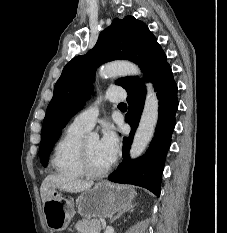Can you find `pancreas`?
I'll list each match as a JSON object with an SVG mask.
<instances>
[{
  "instance_id": "pancreas-1",
  "label": "pancreas",
  "mask_w": 227,
  "mask_h": 233,
  "mask_svg": "<svg viewBox=\"0 0 227 233\" xmlns=\"http://www.w3.org/2000/svg\"><path fill=\"white\" fill-rule=\"evenodd\" d=\"M75 228L79 233H99L101 224L96 219H83L76 223Z\"/></svg>"
}]
</instances>
